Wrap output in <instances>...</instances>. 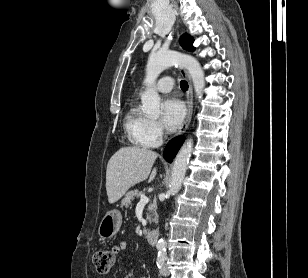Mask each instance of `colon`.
<instances>
[{
  "instance_id": "obj_1",
  "label": "colon",
  "mask_w": 308,
  "mask_h": 278,
  "mask_svg": "<svg viewBox=\"0 0 308 278\" xmlns=\"http://www.w3.org/2000/svg\"><path fill=\"white\" fill-rule=\"evenodd\" d=\"M115 263V255L111 250L99 249L93 254V264L101 274L109 273Z\"/></svg>"
}]
</instances>
